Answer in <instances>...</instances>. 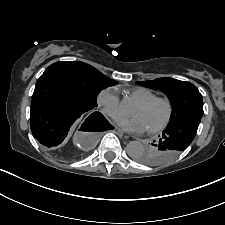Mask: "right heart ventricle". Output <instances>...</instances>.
Returning <instances> with one entry per match:
<instances>
[{
	"mask_svg": "<svg viewBox=\"0 0 225 225\" xmlns=\"http://www.w3.org/2000/svg\"><path fill=\"white\" fill-rule=\"evenodd\" d=\"M127 97L134 102H142L156 96V93L150 89L137 87L126 92Z\"/></svg>",
	"mask_w": 225,
	"mask_h": 225,
	"instance_id": "e07e8e85",
	"label": "right heart ventricle"
}]
</instances>
